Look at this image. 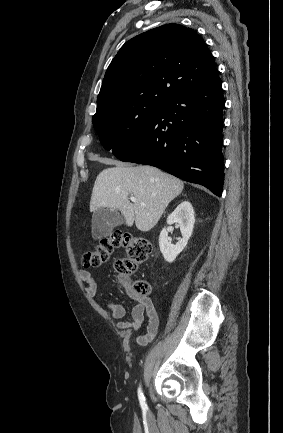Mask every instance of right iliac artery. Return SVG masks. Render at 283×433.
I'll return each mask as SVG.
<instances>
[{"mask_svg":"<svg viewBox=\"0 0 283 433\" xmlns=\"http://www.w3.org/2000/svg\"><path fill=\"white\" fill-rule=\"evenodd\" d=\"M138 397H139L141 408L143 410H147L148 407H147V404L145 402V397L142 393L141 387H139V389H138Z\"/></svg>","mask_w":283,"mask_h":433,"instance_id":"right-iliac-artery-1","label":"right iliac artery"}]
</instances>
